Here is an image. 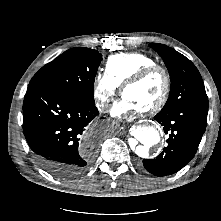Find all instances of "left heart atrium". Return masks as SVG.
<instances>
[{
	"mask_svg": "<svg viewBox=\"0 0 221 221\" xmlns=\"http://www.w3.org/2000/svg\"><path fill=\"white\" fill-rule=\"evenodd\" d=\"M136 110V107L130 102V100L123 96L120 101L113 105L111 113L113 116L121 117L124 114L135 112Z\"/></svg>",
	"mask_w": 221,
	"mask_h": 221,
	"instance_id": "39dd6f15",
	"label": "left heart atrium"
}]
</instances>
